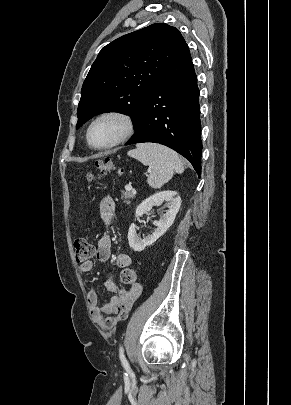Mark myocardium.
<instances>
[{
  "label": "myocardium",
  "instance_id": "myocardium-1",
  "mask_svg": "<svg viewBox=\"0 0 291 405\" xmlns=\"http://www.w3.org/2000/svg\"><path fill=\"white\" fill-rule=\"evenodd\" d=\"M106 118H114L120 121L122 125L121 132L112 142L103 146H94L90 141V132L97 122ZM133 133H134V121L133 118L128 113L120 110H107L99 113L91 120V122L87 127L85 137L89 148L97 151H102V150H109L121 145L122 143L127 141L133 135Z\"/></svg>",
  "mask_w": 291,
  "mask_h": 405
}]
</instances>
